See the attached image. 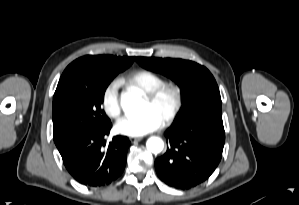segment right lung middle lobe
<instances>
[{"mask_svg": "<svg viewBox=\"0 0 299 205\" xmlns=\"http://www.w3.org/2000/svg\"><path fill=\"white\" fill-rule=\"evenodd\" d=\"M119 72H64L53 99L54 142L59 148L71 137L111 124L101 108L104 93Z\"/></svg>", "mask_w": 299, "mask_h": 205, "instance_id": "dd1d6c3e", "label": "right lung middle lobe"}]
</instances>
